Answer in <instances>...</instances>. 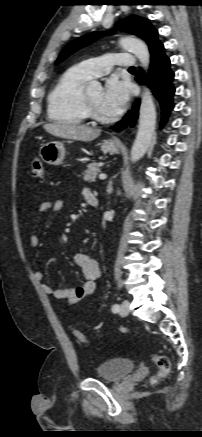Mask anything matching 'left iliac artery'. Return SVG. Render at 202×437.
Listing matches in <instances>:
<instances>
[{
	"instance_id": "left-iliac-artery-1",
	"label": "left iliac artery",
	"mask_w": 202,
	"mask_h": 437,
	"mask_svg": "<svg viewBox=\"0 0 202 437\" xmlns=\"http://www.w3.org/2000/svg\"><path fill=\"white\" fill-rule=\"evenodd\" d=\"M119 310H120V305H118V304H114V305L112 306V311H113V312H119Z\"/></svg>"
}]
</instances>
